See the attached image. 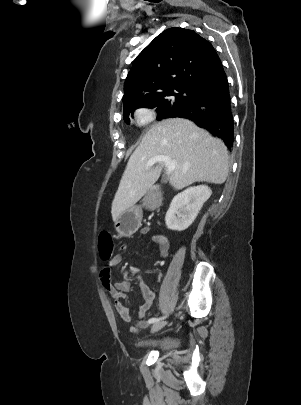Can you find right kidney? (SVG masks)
I'll use <instances>...</instances> for the list:
<instances>
[{
  "instance_id": "right-kidney-1",
  "label": "right kidney",
  "mask_w": 301,
  "mask_h": 405,
  "mask_svg": "<svg viewBox=\"0 0 301 405\" xmlns=\"http://www.w3.org/2000/svg\"><path fill=\"white\" fill-rule=\"evenodd\" d=\"M211 194V189L206 185L189 187L178 193L171 201L165 216L167 228L174 231L187 229Z\"/></svg>"
}]
</instances>
